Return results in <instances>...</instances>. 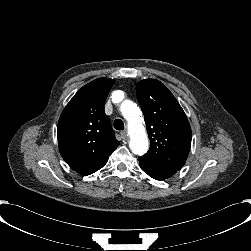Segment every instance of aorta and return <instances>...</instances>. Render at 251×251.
Here are the masks:
<instances>
[{
	"mask_svg": "<svg viewBox=\"0 0 251 251\" xmlns=\"http://www.w3.org/2000/svg\"><path fill=\"white\" fill-rule=\"evenodd\" d=\"M123 95L122 91H115L112 96L113 102H121ZM121 111L127 122L130 149L134 154H144L148 150V137L139 108L135 103L126 101L122 104Z\"/></svg>",
	"mask_w": 251,
	"mask_h": 251,
	"instance_id": "762f6f07",
	"label": "aorta"
}]
</instances>
